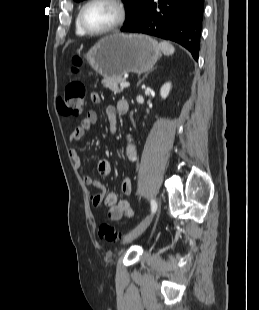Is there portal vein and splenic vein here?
Masks as SVG:
<instances>
[{
	"label": "portal vein and splenic vein",
	"mask_w": 259,
	"mask_h": 310,
	"mask_svg": "<svg viewBox=\"0 0 259 310\" xmlns=\"http://www.w3.org/2000/svg\"><path fill=\"white\" fill-rule=\"evenodd\" d=\"M129 86H130V83H129V82H125V81H124V82H121V83H120V87H121V88H126V87H129Z\"/></svg>",
	"instance_id": "18ae733b"
}]
</instances>
